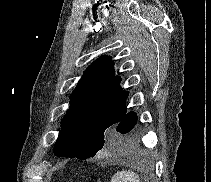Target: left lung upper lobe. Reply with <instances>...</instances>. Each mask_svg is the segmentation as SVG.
I'll return each mask as SVG.
<instances>
[{
    "mask_svg": "<svg viewBox=\"0 0 211 182\" xmlns=\"http://www.w3.org/2000/svg\"><path fill=\"white\" fill-rule=\"evenodd\" d=\"M114 76L108 56L93 62L70 96V106L54 146V154L87 159L106 147L114 128L127 112L128 92Z\"/></svg>",
    "mask_w": 211,
    "mask_h": 182,
    "instance_id": "1",
    "label": "left lung upper lobe"
}]
</instances>
